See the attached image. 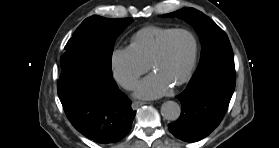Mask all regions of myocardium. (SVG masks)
I'll return each mask as SVG.
<instances>
[{
    "label": "myocardium",
    "instance_id": "myocardium-1",
    "mask_svg": "<svg viewBox=\"0 0 279 148\" xmlns=\"http://www.w3.org/2000/svg\"><path fill=\"white\" fill-rule=\"evenodd\" d=\"M178 33H186L192 38L193 54H192L191 62H190L188 69L174 83L176 86L184 84L191 77L192 73L194 72L196 63H197L199 44H198L197 37L195 36V34L192 31H190L188 29H184V28L174 29V30L170 31L161 41L156 53L154 54L153 58L151 59V61L149 63V68H150V70H152L153 66L164 57L165 52H166V46H167L169 39Z\"/></svg>",
    "mask_w": 279,
    "mask_h": 148
}]
</instances>
